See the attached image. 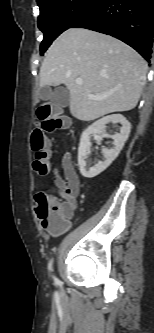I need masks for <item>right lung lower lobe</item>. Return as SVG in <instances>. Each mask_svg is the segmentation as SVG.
<instances>
[{
  "mask_svg": "<svg viewBox=\"0 0 154 333\" xmlns=\"http://www.w3.org/2000/svg\"><path fill=\"white\" fill-rule=\"evenodd\" d=\"M76 27L116 37L149 60L154 41V0H101L71 28Z\"/></svg>",
  "mask_w": 154,
  "mask_h": 333,
  "instance_id": "98d812e1",
  "label": "right lung lower lobe"
}]
</instances>
